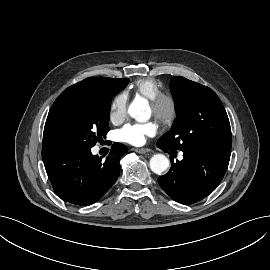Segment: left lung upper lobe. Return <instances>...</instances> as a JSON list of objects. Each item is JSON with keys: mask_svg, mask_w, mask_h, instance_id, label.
Returning a JSON list of instances; mask_svg holds the SVG:
<instances>
[{"mask_svg": "<svg viewBox=\"0 0 270 270\" xmlns=\"http://www.w3.org/2000/svg\"><path fill=\"white\" fill-rule=\"evenodd\" d=\"M170 89L177 118L171 131L158 140V145L181 151L193 147L231 149L229 119L212 89L184 77H172Z\"/></svg>", "mask_w": 270, "mask_h": 270, "instance_id": "obj_1", "label": "left lung upper lobe"}]
</instances>
